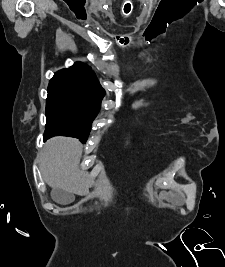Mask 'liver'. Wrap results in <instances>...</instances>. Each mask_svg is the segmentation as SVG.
Returning a JSON list of instances; mask_svg holds the SVG:
<instances>
[{
    "label": "liver",
    "mask_w": 225,
    "mask_h": 267,
    "mask_svg": "<svg viewBox=\"0 0 225 267\" xmlns=\"http://www.w3.org/2000/svg\"><path fill=\"white\" fill-rule=\"evenodd\" d=\"M82 145L74 138L54 137L46 142L39 156L44 181L69 193L85 196L92 181L88 173L79 170Z\"/></svg>",
    "instance_id": "6515ba94"
}]
</instances>
